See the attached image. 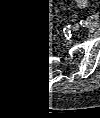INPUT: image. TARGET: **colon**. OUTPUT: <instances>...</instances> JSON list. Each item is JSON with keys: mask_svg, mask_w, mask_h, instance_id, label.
<instances>
[{"mask_svg": "<svg viewBox=\"0 0 100 118\" xmlns=\"http://www.w3.org/2000/svg\"><path fill=\"white\" fill-rule=\"evenodd\" d=\"M54 1H56V3H58V2H59V0H54Z\"/></svg>", "mask_w": 100, "mask_h": 118, "instance_id": "1", "label": "colon"}]
</instances>
